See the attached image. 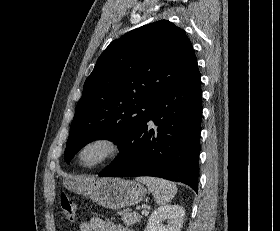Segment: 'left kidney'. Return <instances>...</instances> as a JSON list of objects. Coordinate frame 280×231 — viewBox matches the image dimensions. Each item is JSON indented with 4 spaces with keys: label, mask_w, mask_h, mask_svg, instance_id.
Segmentation results:
<instances>
[{
    "label": "left kidney",
    "mask_w": 280,
    "mask_h": 231,
    "mask_svg": "<svg viewBox=\"0 0 280 231\" xmlns=\"http://www.w3.org/2000/svg\"><path fill=\"white\" fill-rule=\"evenodd\" d=\"M184 213L182 205H160L151 213L144 231H181Z\"/></svg>",
    "instance_id": "left-kidney-1"
}]
</instances>
